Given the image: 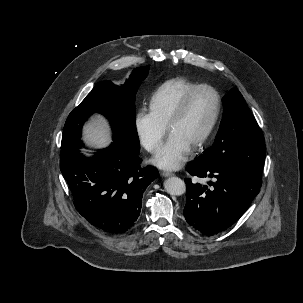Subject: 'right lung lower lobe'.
<instances>
[{"mask_svg": "<svg viewBox=\"0 0 303 303\" xmlns=\"http://www.w3.org/2000/svg\"><path fill=\"white\" fill-rule=\"evenodd\" d=\"M82 145L78 140L60 152V169L77 211L109 233L129 231L140 215L143 192L159 175L157 169L141 168L138 154L115 142L92 158L80 153Z\"/></svg>", "mask_w": 303, "mask_h": 303, "instance_id": "right-lung-lower-lobe-1", "label": "right lung lower lobe"}]
</instances>
